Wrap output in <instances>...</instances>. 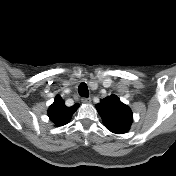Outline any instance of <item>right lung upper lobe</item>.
Masks as SVG:
<instances>
[{
    "label": "right lung upper lobe",
    "mask_w": 176,
    "mask_h": 176,
    "mask_svg": "<svg viewBox=\"0 0 176 176\" xmlns=\"http://www.w3.org/2000/svg\"><path fill=\"white\" fill-rule=\"evenodd\" d=\"M79 104L67 107L60 95L55 97L54 103L49 107L48 116L50 120L57 126L67 124L73 113L77 110Z\"/></svg>",
    "instance_id": "right-lung-upper-lobe-1"
}]
</instances>
